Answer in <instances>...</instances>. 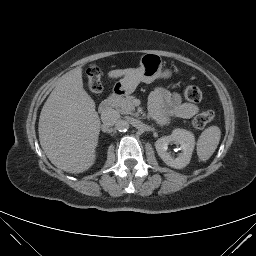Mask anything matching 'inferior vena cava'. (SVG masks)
<instances>
[{"mask_svg": "<svg viewBox=\"0 0 256 256\" xmlns=\"http://www.w3.org/2000/svg\"><path fill=\"white\" fill-rule=\"evenodd\" d=\"M101 119L105 127H111L117 124L120 119V115L116 110L108 109L102 113Z\"/></svg>", "mask_w": 256, "mask_h": 256, "instance_id": "obj_1", "label": "inferior vena cava"}]
</instances>
